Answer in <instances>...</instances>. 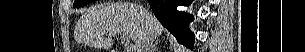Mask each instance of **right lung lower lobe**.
<instances>
[{
	"label": "right lung lower lobe",
	"mask_w": 305,
	"mask_h": 52,
	"mask_svg": "<svg viewBox=\"0 0 305 52\" xmlns=\"http://www.w3.org/2000/svg\"><path fill=\"white\" fill-rule=\"evenodd\" d=\"M156 18L181 43L193 48L194 34L189 30L188 23L193 21L192 15L176 10L177 6H189L192 0H148Z\"/></svg>",
	"instance_id": "98d812e1"
}]
</instances>
